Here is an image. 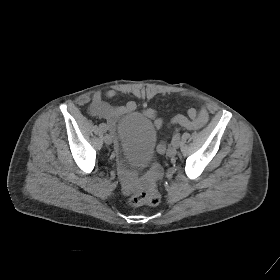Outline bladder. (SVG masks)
<instances>
[{"label": "bladder", "instance_id": "1", "mask_svg": "<svg viewBox=\"0 0 280 280\" xmlns=\"http://www.w3.org/2000/svg\"><path fill=\"white\" fill-rule=\"evenodd\" d=\"M116 131L126 163L136 169L147 166L154 156L157 142L152 121L140 113H131L119 121Z\"/></svg>", "mask_w": 280, "mask_h": 280}]
</instances>
